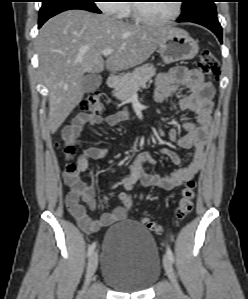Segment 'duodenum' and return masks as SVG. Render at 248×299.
<instances>
[{
	"label": "duodenum",
	"mask_w": 248,
	"mask_h": 299,
	"mask_svg": "<svg viewBox=\"0 0 248 299\" xmlns=\"http://www.w3.org/2000/svg\"><path fill=\"white\" fill-rule=\"evenodd\" d=\"M119 79L117 76L111 75L107 79V85L109 88H115L118 85Z\"/></svg>",
	"instance_id": "obj_1"
}]
</instances>
